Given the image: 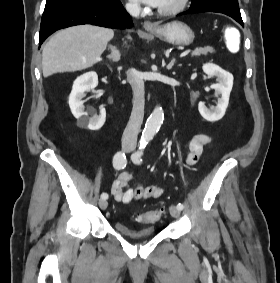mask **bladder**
Wrapping results in <instances>:
<instances>
[{
  "instance_id": "obj_1",
  "label": "bladder",
  "mask_w": 280,
  "mask_h": 283,
  "mask_svg": "<svg viewBox=\"0 0 280 283\" xmlns=\"http://www.w3.org/2000/svg\"><path fill=\"white\" fill-rule=\"evenodd\" d=\"M114 227L121 236L133 240L147 239L155 235V227L153 225H144L139 229H132L123 222H116Z\"/></svg>"
}]
</instances>
